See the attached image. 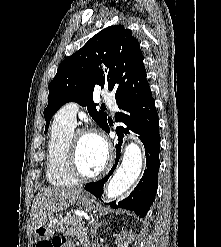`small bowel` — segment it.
Returning a JSON list of instances; mask_svg holds the SVG:
<instances>
[{"label": "small bowel", "instance_id": "1", "mask_svg": "<svg viewBox=\"0 0 221 247\" xmlns=\"http://www.w3.org/2000/svg\"><path fill=\"white\" fill-rule=\"evenodd\" d=\"M60 247H74L71 243L63 241Z\"/></svg>", "mask_w": 221, "mask_h": 247}]
</instances>
